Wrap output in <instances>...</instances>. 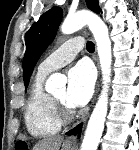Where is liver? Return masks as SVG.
<instances>
[{
	"label": "liver",
	"instance_id": "liver-1",
	"mask_svg": "<svg viewBox=\"0 0 139 150\" xmlns=\"http://www.w3.org/2000/svg\"><path fill=\"white\" fill-rule=\"evenodd\" d=\"M62 141L63 137L60 136L45 138L35 144L33 150H59Z\"/></svg>",
	"mask_w": 139,
	"mask_h": 150
}]
</instances>
